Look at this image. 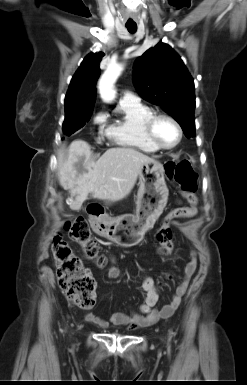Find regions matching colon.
I'll use <instances>...</instances> for the list:
<instances>
[{"instance_id": "obj_1", "label": "colon", "mask_w": 247, "mask_h": 385, "mask_svg": "<svg viewBox=\"0 0 247 385\" xmlns=\"http://www.w3.org/2000/svg\"><path fill=\"white\" fill-rule=\"evenodd\" d=\"M166 176L177 184L181 193L190 202L195 201L197 190V174L189 160L166 162ZM185 211L176 208L169 212L157 231L156 238L161 254H170L173 250V234L171 223L183 216ZM64 230L69 237L83 248L85 257L102 268L107 260L92 238L87 222L82 217L67 221ZM58 283L65 296L82 309H91L95 305L96 281L90 271L83 266L82 260L76 256L70 246L61 237L54 239L52 246Z\"/></svg>"}]
</instances>
